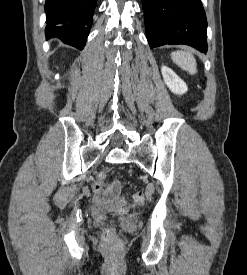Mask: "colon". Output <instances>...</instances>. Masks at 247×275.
Instances as JSON below:
<instances>
[{
    "instance_id": "1",
    "label": "colon",
    "mask_w": 247,
    "mask_h": 275,
    "mask_svg": "<svg viewBox=\"0 0 247 275\" xmlns=\"http://www.w3.org/2000/svg\"><path fill=\"white\" fill-rule=\"evenodd\" d=\"M106 173L101 172L97 175L95 188L101 190L105 187ZM145 194L144 191L136 192L132 197V206H141L144 204ZM102 239L104 244L109 248H117L120 245V240L113 226L107 227L102 232Z\"/></svg>"
}]
</instances>
